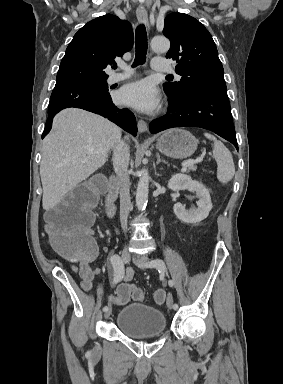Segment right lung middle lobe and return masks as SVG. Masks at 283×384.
I'll return each mask as SVG.
<instances>
[{"mask_svg": "<svg viewBox=\"0 0 283 384\" xmlns=\"http://www.w3.org/2000/svg\"><path fill=\"white\" fill-rule=\"evenodd\" d=\"M110 97L106 81L54 88L49 108H61L75 103Z\"/></svg>", "mask_w": 283, "mask_h": 384, "instance_id": "dd1d6c3e", "label": "right lung middle lobe"}]
</instances>
